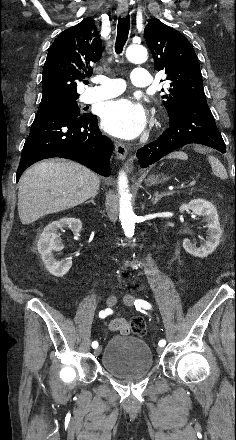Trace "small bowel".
I'll use <instances>...</instances> for the list:
<instances>
[{"label": "small bowel", "mask_w": 236, "mask_h": 440, "mask_svg": "<svg viewBox=\"0 0 236 440\" xmlns=\"http://www.w3.org/2000/svg\"><path fill=\"white\" fill-rule=\"evenodd\" d=\"M109 328L112 330V333H119L120 339H127L129 335L127 330L130 328V323L122 319H113L109 323Z\"/></svg>", "instance_id": "1"}]
</instances>
